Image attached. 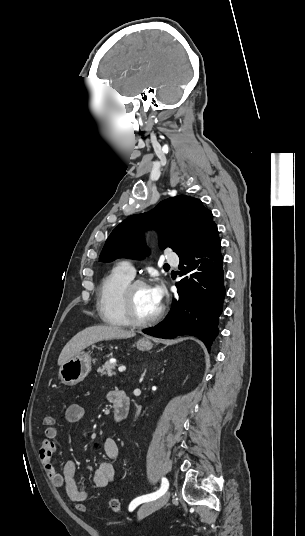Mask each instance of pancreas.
Masks as SVG:
<instances>
[{
	"mask_svg": "<svg viewBox=\"0 0 305 536\" xmlns=\"http://www.w3.org/2000/svg\"><path fill=\"white\" fill-rule=\"evenodd\" d=\"M115 366H117V364H110V362H105L104 366H102V368H99L97 372H99L101 376H109V378H111V376H115V372H113V370H115Z\"/></svg>",
	"mask_w": 305,
	"mask_h": 536,
	"instance_id": "1",
	"label": "pancreas"
}]
</instances>
